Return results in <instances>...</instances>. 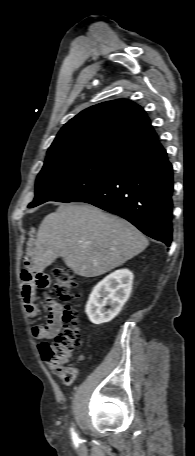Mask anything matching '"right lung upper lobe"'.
Segmentation results:
<instances>
[{
  "label": "right lung upper lobe",
  "mask_w": 195,
  "mask_h": 456,
  "mask_svg": "<svg viewBox=\"0 0 195 456\" xmlns=\"http://www.w3.org/2000/svg\"><path fill=\"white\" fill-rule=\"evenodd\" d=\"M162 148L144 110L118 99L89 107L67 122L48 149L45 163L94 159L124 166Z\"/></svg>",
  "instance_id": "1"
}]
</instances>
